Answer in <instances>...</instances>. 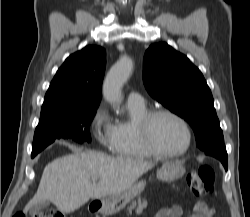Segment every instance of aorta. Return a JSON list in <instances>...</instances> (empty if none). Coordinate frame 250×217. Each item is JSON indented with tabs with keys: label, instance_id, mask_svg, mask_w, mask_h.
<instances>
[{
	"label": "aorta",
	"instance_id": "1",
	"mask_svg": "<svg viewBox=\"0 0 250 217\" xmlns=\"http://www.w3.org/2000/svg\"><path fill=\"white\" fill-rule=\"evenodd\" d=\"M133 70V62L129 57H122L110 69L103 83V96L112 105L122 100L121 89L129 79Z\"/></svg>",
	"mask_w": 250,
	"mask_h": 217
}]
</instances>
